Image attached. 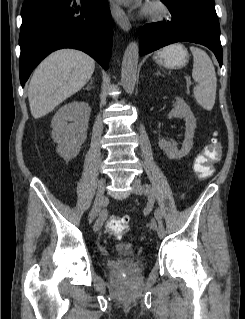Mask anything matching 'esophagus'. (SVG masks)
<instances>
[{"mask_svg":"<svg viewBox=\"0 0 245 319\" xmlns=\"http://www.w3.org/2000/svg\"><path fill=\"white\" fill-rule=\"evenodd\" d=\"M110 10L115 22L124 30L129 31L131 24L125 11L114 1L110 3Z\"/></svg>","mask_w":245,"mask_h":319,"instance_id":"esophagus-1","label":"esophagus"}]
</instances>
